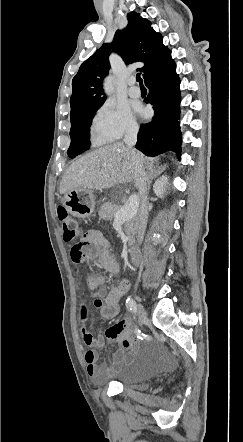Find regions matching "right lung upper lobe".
I'll return each mask as SVG.
<instances>
[{"label":"right lung upper lobe","instance_id":"1","mask_svg":"<svg viewBox=\"0 0 243 442\" xmlns=\"http://www.w3.org/2000/svg\"><path fill=\"white\" fill-rule=\"evenodd\" d=\"M128 25L116 31L111 44L104 43L80 66L72 80L73 93L70 99V119L99 108L106 100L102 81L109 73L108 56L111 49L119 54L126 64L144 62L143 78L158 66L169 49L163 45L162 36L151 28V23L139 14L127 15Z\"/></svg>","mask_w":243,"mask_h":442}]
</instances>
